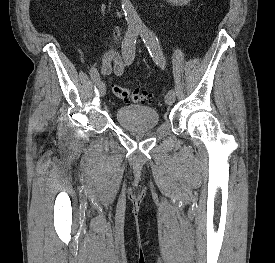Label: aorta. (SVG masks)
Segmentation results:
<instances>
[{
  "label": "aorta",
  "instance_id": "762f6f07",
  "mask_svg": "<svg viewBox=\"0 0 275 263\" xmlns=\"http://www.w3.org/2000/svg\"><path fill=\"white\" fill-rule=\"evenodd\" d=\"M122 10L129 26L143 29L148 37H152V34L146 31L143 22L138 16L137 11L130 0H122Z\"/></svg>",
  "mask_w": 275,
  "mask_h": 263
}]
</instances>
